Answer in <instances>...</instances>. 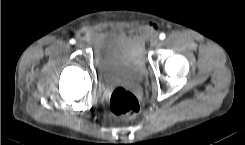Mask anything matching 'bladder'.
<instances>
[{"label":"bladder","mask_w":245,"mask_h":145,"mask_svg":"<svg viewBox=\"0 0 245 145\" xmlns=\"http://www.w3.org/2000/svg\"><path fill=\"white\" fill-rule=\"evenodd\" d=\"M94 64L104 82L137 83L145 71L143 47L130 34L108 33L99 42Z\"/></svg>","instance_id":"31cf9c89"}]
</instances>
